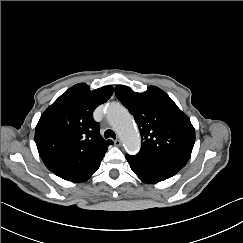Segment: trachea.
Returning <instances> with one entry per match:
<instances>
[{"instance_id":"trachea-1","label":"trachea","mask_w":243,"mask_h":243,"mask_svg":"<svg viewBox=\"0 0 243 243\" xmlns=\"http://www.w3.org/2000/svg\"><path fill=\"white\" fill-rule=\"evenodd\" d=\"M105 138H113L114 140L116 139V134L113 130L107 129L104 133Z\"/></svg>"}]
</instances>
